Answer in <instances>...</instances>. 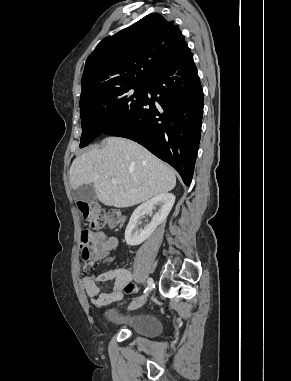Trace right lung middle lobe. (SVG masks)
I'll list each match as a JSON object with an SVG mask.
<instances>
[{"label":"right lung middle lobe","mask_w":291,"mask_h":381,"mask_svg":"<svg viewBox=\"0 0 291 381\" xmlns=\"http://www.w3.org/2000/svg\"><path fill=\"white\" fill-rule=\"evenodd\" d=\"M146 85L135 83L114 87L80 104V148L132 115L145 97Z\"/></svg>","instance_id":"obj_1"}]
</instances>
